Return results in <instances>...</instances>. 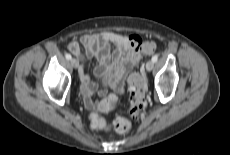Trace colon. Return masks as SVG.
Wrapping results in <instances>:
<instances>
[{"label":"colon","instance_id":"obj_1","mask_svg":"<svg viewBox=\"0 0 230 155\" xmlns=\"http://www.w3.org/2000/svg\"><path fill=\"white\" fill-rule=\"evenodd\" d=\"M138 46L145 54H151L155 50V43L152 41L143 42L141 39ZM130 115L133 118L139 116L140 111L145 106V83L140 72L134 73L130 79ZM110 106L113 107L116 103L115 98L109 100ZM91 126L100 130L114 129L118 133H126L131 129V123L121 117L116 118L112 125L107 124L104 119L97 114H92L90 117Z\"/></svg>","mask_w":230,"mask_h":155}]
</instances>
